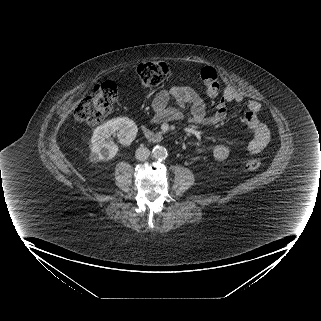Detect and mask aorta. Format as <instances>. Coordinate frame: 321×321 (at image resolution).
I'll use <instances>...</instances> for the list:
<instances>
[{
  "instance_id": "1",
  "label": "aorta",
  "mask_w": 321,
  "mask_h": 321,
  "mask_svg": "<svg viewBox=\"0 0 321 321\" xmlns=\"http://www.w3.org/2000/svg\"><path fill=\"white\" fill-rule=\"evenodd\" d=\"M152 155L155 159L163 160L167 157V150L163 146H155L152 149Z\"/></svg>"
}]
</instances>
